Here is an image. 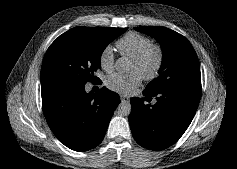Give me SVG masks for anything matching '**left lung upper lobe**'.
Returning a JSON list of instances; mask_svg holds the SVG:
<instances>
[{"label": "left lung upper lobe", "mask_w": 237, "mask_h": 169, "mask_svg": "<svg viewBox=\"0 0 237 169\" xmlns=\"http://www.w3.org/2000/svg\"><path fill=\"white\" fill-rule=\"evenodd\" d=\"M135 30L154 37L163 53L159 76L146 86L145 92L154 94L170 87H201L198 57L184 36L160 26L135 27Z\"/></svg>", "instance_id": "obj_1"}]
</instances>
